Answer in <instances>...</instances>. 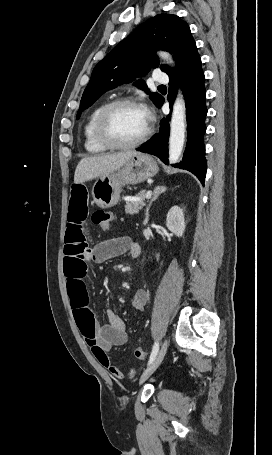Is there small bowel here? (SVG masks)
Returning <instances> with one entry per match:
<instances>
[{
	"instance_id": "c3829d8e",
	"label": "small bowel",
	"mask_w": 272,
	"mask_h": 455,
	"mask_svg": "<svg viewBox=\"0 0 272 455\" xmlns=\"http://www.w3.org/2000/svg\"><path fill=\"white\" fill-rule=\"evenodd\" d=\"M88 216V191L84 183L72 186L68 222L64 244V272L72 312L77 326L98 362L115 378L122 379L125 372L115 366L109 357L112 347L127 341L126 324L112 309L106 310L107 323L101 325L89 304L86 278L89 265L127 253L135 259L140 256V245L127 236L114 237L90 247L84 234ZM148 294L138 289L132 296L131 304L142 311L147 303ZM131 375L135 374L132 370Z\"/></svg>"
}]
</instances>
